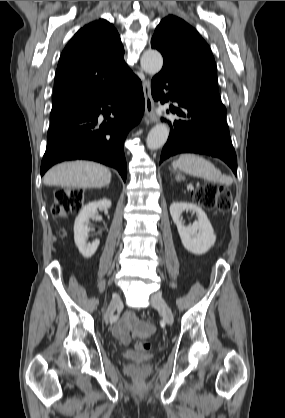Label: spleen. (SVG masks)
I'll use <instances>...</instances> for the list:
<instances>
[{"label":"spleen","instance_id":"1","mask_svg":"<svg viewBox=\"0 0 285 418\" xmlns=\"http://www.w3.org/2000/svg\"><path fill=\"white\" fill-rule=\"evenodd\" d=\"M172 166L174 169H179L189 175L227 186L233 182L230 176L222 175L221 171L210 161L195 154H182L172 163Z\"/></svg>","mask_w":285,"mask_h":418}]
</instances>
